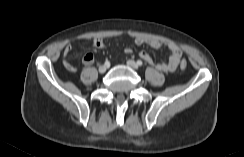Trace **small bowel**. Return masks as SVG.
I'll return each instance as SVG.
<instances>
[{
  "label": "small bowel",
  "mask_w": 244,
  "mask_h": 157,
  "mask_svg": "<svg viewBox=\"0 0 244 157\" xmlns=\"http://www.w3.org/2000/svg\"><path fill=\"white\" fill-rule=\"evenodd\" d=\"M134 43L136 45H148L152 48L155 49H159L162 47H166L169 51H170V56L169 59L167 61H162L159 63H155L153 58L147 53V52H140V57L149 65L154 66L157 70L162 71V72H173L176 70V68L178 67L179 63H180V59L182 57V51L181 49L173 42H168V43H161L157 40L154 39H144V38H136L134 40ZM92 45L94 48L97 49H102V48H106L107 44L105 43V41L102 38H95L92 41ZM73 47L71 44H68L65 47L64 53L65 55H68L71 53ZM125 53L127 54H131L132 53V49L127 47L125 48ZM82 62L84 65L89 66L91 64H93L94 62V55L92 53H86L83 56ZM64 65L67 68L69 63L65 60L64 61Z\"/></svg>",
  "instance_id": "obj_1"
}]
</instances>
